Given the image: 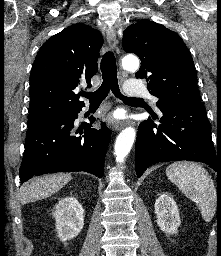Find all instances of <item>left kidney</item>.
Returning a JSON list of instances; mask_svg holds the SVG:
<instances>
[{"label":"left kidney","instance_id":"5707ae66","mask_svg":"<svg viewBox=\"0 0 221 256\" xmlns=\"http://www.w3.org/2000/svg\"><path fill=\"white\" fill-rule=\"evenodd\" d=\"M155 214L159 228L167 234H176L180 226L178 207L174 199L163 193L155 202Z\"/></svg>","mask_w":221,"mask_h":256}]
</instances>
